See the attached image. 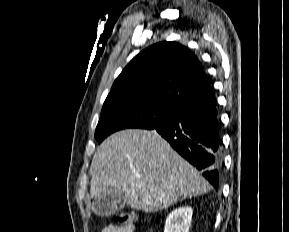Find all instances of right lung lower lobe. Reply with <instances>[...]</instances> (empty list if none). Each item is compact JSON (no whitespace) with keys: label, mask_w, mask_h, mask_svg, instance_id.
<instances>
[{"label":"right lung lower lobe","mask_w":289,"mask_h":232,"mask_svg":"<svg viewBox=\"0 0 289 232\" xmlns=\"http://www.w3.org/2000/svg\"><path fill=\"white\" fill-rule=\"evenodd\" d=\"M154 129L218 189L223 160L216 99L180 108L175 119Z\"/></svg>","instance_id":"98d812e1"}]
</instances>
